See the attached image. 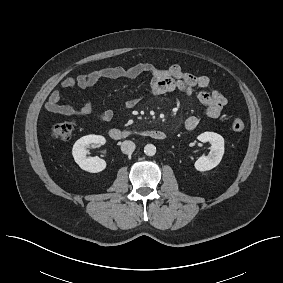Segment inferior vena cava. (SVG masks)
Returning <instances> with one entry per match:
<instances>
[{
  "instance_id": "1",
  "label": "inferior vena cava",
  "mask_w": 283,
  "mask_h": 283,
  "mask_svg": "<svg viewBox=\"0 0 283 283\" xmlns=\"http://www.w3.org/2000/svg\"><path fill=\"white\" fill-rule=\"evenodd\" d=\"M135 148H136L135 143L129 140H125L121 144V151L124 154H132Z\"/></svg>"
}]
</instances>
